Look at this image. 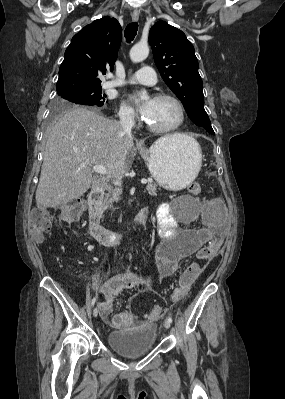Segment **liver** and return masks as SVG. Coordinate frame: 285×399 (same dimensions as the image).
I'll use <instances>...</instances> for the list:
<instances>
[{"instance_id":"liver-1","label":"liver","mask_w":285,"mask_h":399,"mask_svg":"<svg viewBox=\"0 0 285 399\" xmlns=\"http://www.w3.org/2000/svg\"><path fill=\"white\" fill-rule=\"evenodd\" d=\"M133 148L132 135L118 121L82 107L65 112L46 142L37 206L55 208L81 197L92 186L105 187L111 179L122 178L133 162ZM94 165L104 166L107 173L94 178Z\"/></svg>"}]
</instances>
